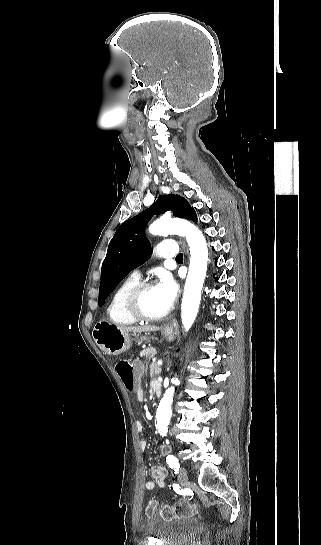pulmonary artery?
Masks as SVG:
<instances>
[{
	"label": "pulmonary artery",
	"mask_w": 321,
	"mask_h": 545,
	"mask_svg": "<svg viewBox=\"0 0 321 545\" xmlns=\"http://www.w3.org/2000/svg\"><path fill=\"white\" fill-rule=\"evenodd\" d=\"M157 258L162 261H173L174 257L179 255V248L176 242L174 241H158L156 243ZM131 276L135 278L141 277V271L139 269H134L131 272Z\"/></svg>",
	"instance_id": "1"
}]
</instances>
